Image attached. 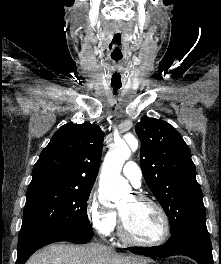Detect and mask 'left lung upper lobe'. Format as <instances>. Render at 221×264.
Segmentation results:
<instances>
[{
    "label": "left lung upper lobe",
    "mask_w": 221,
    "mask_h": 264,
    "mask_svg": "<svg viewBox=\"0 0 221 264\" xmlns=\"http://www.w3.org/2000/svg\"><path fill=\"white\" fill-rule=\"evenodd\" d=\"M141 140L140 164L148 187L170 222L171 234L206 228L203 195L189 147L167 122L147 118L135 126Z\"/></svg>",
    "instance_id": "5c2ea615"
}]
</instances>
